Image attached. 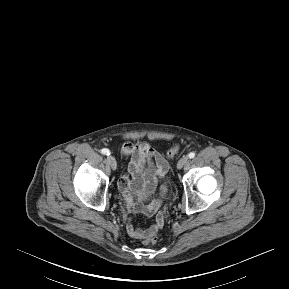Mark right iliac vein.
Returning a JSON list of instances; mask_svg holds the SVG:
<instances>
[{
  "instance_id": "1",
  "label": "right iliac vein",
  "mask_w": 289,
  "mask_h": 289,
  "mask_svg": "<svg viewBox=\"0 0 289 289\" xmlns=\"http://www.w3.org/2000/svg\"><path fill=\"white\" fill-rule=\"evenodd\" d=\"M107 161H108L109 165L111 166V168L113 170H116V168H117L116 159L113 156H108L107 157Z\"/></svg>"
}]
</instances>
